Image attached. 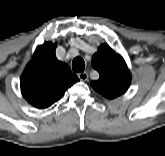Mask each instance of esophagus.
Wrapping results in <instances>:
<instances>
[{"mask_svg": "<svg viewBox=\"0 0 165 156\" xmlns=\"http://www.w3.org/2000/svg\"><path fill=\"white\" fill-rule=\"evenodd\" d=\"M78 78L81 81H87L88 80V73L87 72L78 73Z\"/></svg>", "mask_w": 165, "mask_h": 156, "instance_id": "esophagus-1", "label": "esophagus"}]
</instances>
